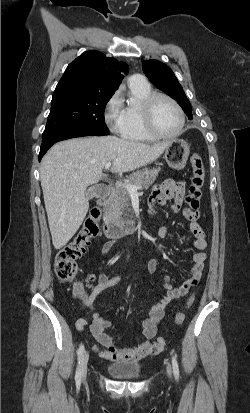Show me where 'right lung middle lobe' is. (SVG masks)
<instances>
[{
	"label": "right lung middle lobe",
	"mask_w": 250,
	"mask_h": 413,
	"mask_svg": "<svg viewBox=\"0 0 250 413\" xmlns=\"http://www.w3.org/2000/svg\"><path fill=\"white\" fill-rule=\"evenodd\" d=\"M113 93L83 89L78 86L56 88L42 142L76 129L108 133L104 110Z\"/></svg>",
	"instance_id": "1"
}]
</instances>
